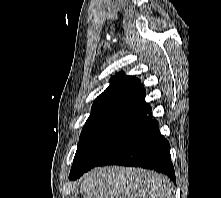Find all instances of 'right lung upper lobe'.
Wrapping results in <instances>:
<instances>
[{"label": "right lung upper lobe", "instance_id": "obj_1", "mask_svg": "<svg viewBox=\"0 0 221 198\" xmlns=\"http://www.w3.org/2000/svg\"><path fill=\"white\" fill-rule=\"evenodd\" d=\"M145 89L140 80L123 72L110 80V86L93 103L85 126L108 120L145 123L151 117V107L145 102Z\"/></svg>", "mask_w": 221, "mask_h": 198}]
</instances>
